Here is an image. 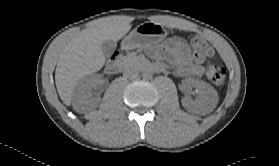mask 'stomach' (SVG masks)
Masks as SVG:
<instances>
[{
    "instance_id": "1",
    "label": "stomach",
    "mask_w": 279,
    "mask_h": 166,
    "mask_svg": "<svg viewBox=\"0 0 279 166\" xmlns=\"http://www.w3.org/2000/svg\"><path fill=\"white\" fill-rule=\"evenodd\" d=\"M167 36L166 29L154 22H146L134 28L123 40L121 47L124 50L149 48L158 45Z\"/></svg>"
}]
</instances>
